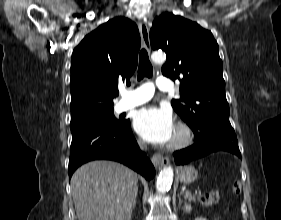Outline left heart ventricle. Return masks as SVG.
<instances>
[{"label":"left heart ventricle","mask_w":281,"mask_h":220,"mask_svg":"<svg viewBox=\"0 0 281 220\" xmlns=\"http://www.w3.org/2000/svg\"><path fill=\"white\" fill-rule=\"evenodd\" d=\"M180 138V133L178 132V130L175 128L174 132H173V135L169 141V143H173V142H176L178 141Z\"/></svg>","instance_id":"1"}]
</instances>
